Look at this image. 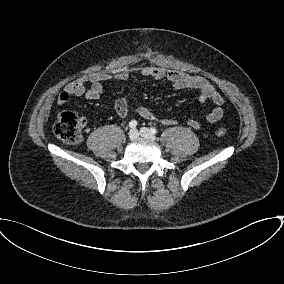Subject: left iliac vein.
Listing matches in <instances>:
<instances>
[{"instance_id":"1","label":"left iliac vein","mask_w":284,"mask_h":284,"mask_svg":"<svg viewBox=\"0 0 284 284\" xmlns=\"http://www.w3.org/2000/svg\"><path fill=\"white\" fill-rule=\"evenodd\" d=\"M140 135L145 137V138L151 139V140L155 139V136L146 127H143V128L140 129Z\"/></svg>"}]
</instances>
